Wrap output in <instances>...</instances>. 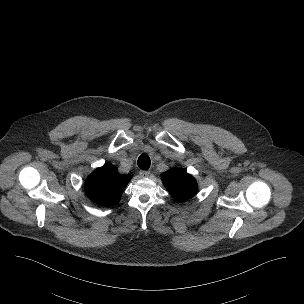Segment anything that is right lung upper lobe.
<instances>
[{"label": "right lung upper lobe", "instance_id": "right-lung-upper-lobe-1", "mask_svg": "<svg viewBox=\"0 0 304 304\" xmlns=\"http://www.w3.org/2000/svg\"><path fill=\"white\" fill-rule=\"evenodd\" d=\"M131 179V175H120L117 169L106 164L97 168L86 179L85 191L91 201L99 205H114L120 201V197Z\"/></svg>", "mask_w": 304, "mask_h": 304}]
</instances>
